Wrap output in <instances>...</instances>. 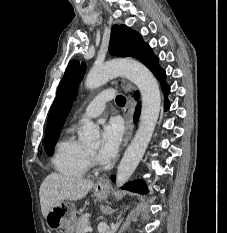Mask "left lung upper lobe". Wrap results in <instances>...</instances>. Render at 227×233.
Returning a JSON list of instances; mask_svg holds the SVG:
<instances>
[{"label": "left lung upper lobe", "instance_id": "1", "mask_svg": "<svg viewBox=\"0 0 227 233\" xmlns=\"http://www.w3.org/2000/svg\"><path fill=\"white\" fill-rule=\"evenodd\" d=\"M109 51L119 57H134L146 65L155 75L160 69L158 58L139 33L126 25H114L111 30ZM85 73V63L71 60L59 83L56 98L49 113L45 151L51 156L60 130L69 114L77 95L78 85Z\"/></svg>", "mask_w": 227, "mask_h": 233}]
</instances>
